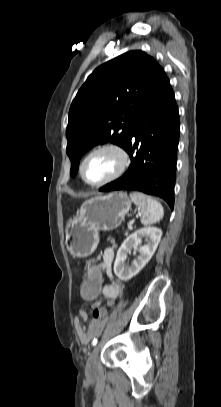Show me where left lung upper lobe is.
Wrapping results in <instances>:
<instances>
[{
    "label": "left lung upper lobe",
    "instance_id": "5c2ea615",
    "mask_svg": "<svg viewBox=\"0 0 221 407\" xmlns=\"http://www.w3.org/2000/svg\"><path fill=\"white\" fill-rule=\"evenodd\" d=\"M165 76L143 51L127 52L93 71L69 110L66 151L71 176L91 147L111 142L125 149L137 116Z\"/></svg>",
    "mask_w": 221,
    "mask_h": 407
}]
</instances>
